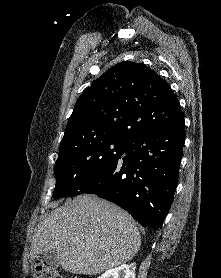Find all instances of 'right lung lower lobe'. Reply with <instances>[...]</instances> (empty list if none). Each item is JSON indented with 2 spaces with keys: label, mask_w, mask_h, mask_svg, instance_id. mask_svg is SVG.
<instances>
[{
  "label": "right lung lower lobe",
  "mask_w": 221,
  "mask_h": 278,
  "mask_svg": "<svg viewBox=\"0 0 221 278\" xmlns=\"http://www.w3.org/2000/svg\"><path fill=\"white\" fill-rule=\"evenodd\" d=\"M184 118L128 140L124 154L72 195L96 194L126 211L143 227H162L175 193L185 141Z\"/></svg>",
  "instance_id": "right-lung-lower-lobe-1"
}]
</instances>
